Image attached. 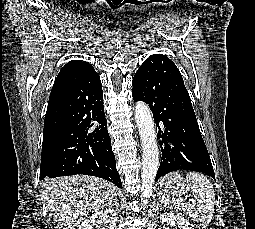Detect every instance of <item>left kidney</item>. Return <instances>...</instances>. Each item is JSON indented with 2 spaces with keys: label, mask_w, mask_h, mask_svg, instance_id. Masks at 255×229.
<instances>
[{
  "label": "left kidney",
  "mask_w": 255,
  "mask_h": 229,
  "mask_svg": "<svg viewBox=\"0 0 255 229\" xmlns=\"http://www.w3.org/2000/svg\"><path fill=\"white\" fill-rule=\"evenodd\" d=\"M161 223H169L175 229H194L190 222L180 215L165 212L160 216Z\"/></svg>",
  "instance_id": "left-kidney-1"
}]
</instances>
